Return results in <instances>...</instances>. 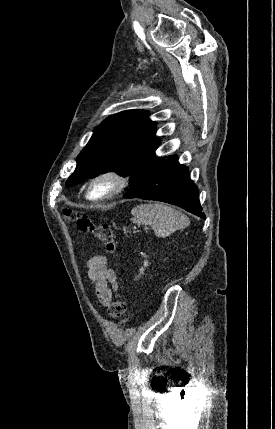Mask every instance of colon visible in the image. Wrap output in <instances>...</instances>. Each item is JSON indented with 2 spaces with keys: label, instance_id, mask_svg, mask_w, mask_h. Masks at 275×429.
I'll use <instances>...</instances> for the list:
<instances>
[{
  "label": "colon",
  "instance_id": "5ec220e1",
  "mask_svg": "<svg viewBox=\"0 0 275 429\" xmlns=\"http://www.w3.org/2000/svg\"><path fill=\"white\" fill-rule=\"evenodd\" d=\"M64 216L67 221L74 222L80 231L90 233L96 237L105 246L108 253L115 252L116 238L111 225L96 224L86 214L70 209L64 210ZM126 308V303L117 297L109 304L108 315L112 319L121 320L125 316Z\"/></svg>",
  "mask_w": 275,
  "mask_h": 429
}]
</instances>
